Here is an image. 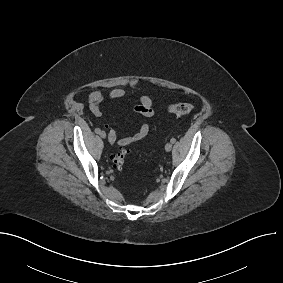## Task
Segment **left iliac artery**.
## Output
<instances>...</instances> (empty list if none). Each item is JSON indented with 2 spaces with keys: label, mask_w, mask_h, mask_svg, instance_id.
I'll list each match as a JSON object with an SVG mask.
<instances>
[{
  "label": "left iliac artery",
  "mask_w": 283,
  "mask_h": 283,
  "mask_svg": "<svg viewBox=\"0 0 283 283\" xmlns=\"http://www.w3.org/2000/svg\"><path fill=\"white\" fill-rule=\"evenodd\" d=\"M170 141H171V143H175V142H176V139H175V138H172Z\"/></svg>",
  "instance_id": "1"
}]
</instances>
